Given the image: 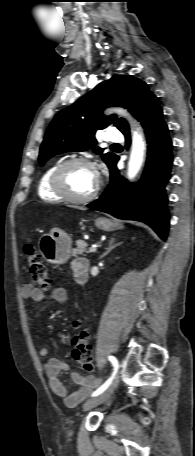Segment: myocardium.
Instances as JSON below:
<instances>
[{
    "instance_id": "obj_1",
    "label": "myocardium",
    "mask_w": 195,
    "mask_h": 456,
    "mask_svg": "<svg viewBox=\"0 0 195 456\" xmlns=\"http://www.w3.org/2000/svg\"><path fill=\"white\" fill-rule=\"evenodd\" d=\"M75 164L86 165L90 167L96 174V185L94 189L86 196H74L70 194L65 187L63 180L64 173L68 167ZM50 186L52 191L61 199L71 203L82 204L93 200L97 196L100 189V176L92 161L84 157H73L62 161L55 167L50 177Z\"/></svg>"
}]
</instances>
